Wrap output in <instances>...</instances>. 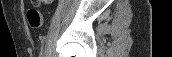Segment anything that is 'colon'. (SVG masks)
<instances>
[{"mask_svg":"<svg viewBox=\"0 0 172 57\" xmlns=\"http://www.w3.org/2000/svg\"><path fill=\"white\" fill-rule=\"evenodd\" d=\"M27 20L30 27L34 29L40 28L43 24V16L35 7H32L27 11Z\"/></svg>","mask_w":172,"mask_h":57,"instance_id":"1","label":"colon"}]
</instances>
